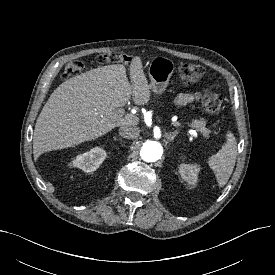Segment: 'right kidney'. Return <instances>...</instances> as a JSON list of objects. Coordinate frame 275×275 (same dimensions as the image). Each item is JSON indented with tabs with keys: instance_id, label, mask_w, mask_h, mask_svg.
Here are the masks:
<instances>
[{
	"instance_id": "ca27d5eb",
	"label": "right kidney",
	"mask_w": 275,
	"mask_h": 275,
	"mask_svg": "<svg viewBox=\"0 0 275 275\" xmlns=\"http://www.w3.org/2000/svg\"><path fill=\"white\" fill-rule=\"evenodd\" d=\"M107 154L100 148H92L89 152L78 155L73 161L72 165L82 169L86 173L95 171L100 164L105 160Z\"/></svg>"
}]
</instances>
